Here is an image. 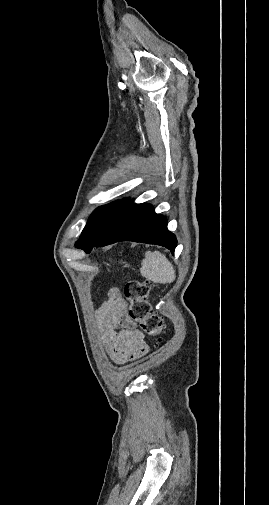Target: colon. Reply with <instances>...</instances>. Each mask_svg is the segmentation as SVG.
<instances>
[{
	"mask_svg": "<svg viewBox=\"0 0 269 505\" xmlns=\"http://www.w3.org/2000/svg\"><path fill=\"white\" fill-rule=\"evenodd\" d=\"M150 289L149 281L130 280L125 286V297L130 303V318L138 323L144 334L159 342L163 334V320L148 300Z\"/></svg>",
	"mask_w": 269,
	"mask_h": 505,
	"instance_id": "obj_1",
	"label": "colon"
}]
</instances>
